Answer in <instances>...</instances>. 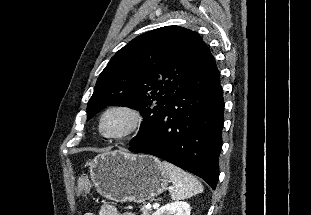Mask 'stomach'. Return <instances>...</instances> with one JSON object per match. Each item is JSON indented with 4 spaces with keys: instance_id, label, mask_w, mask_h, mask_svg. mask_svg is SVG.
<instances>
[{
    "instance_id": "obj_1",
    "label": "stomach",
    "mask_w": 311,
    "mask_h": 215,
    "mask_svg": "<svg viewBox=\"0 0 311 215\" xmlns=\"http://www.w3.org/2000/svg\"><path fill=\"white\" fill-rule=\"evenodd\" d=\"M90 177L103 197L116 202L143 203L160 195L168 175L159 159L124 151H109L89 164Z\"/></svg>"
}]
</instances>
